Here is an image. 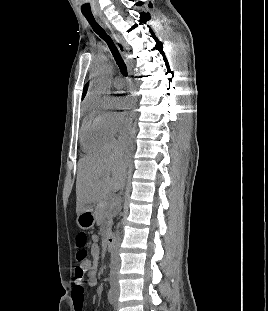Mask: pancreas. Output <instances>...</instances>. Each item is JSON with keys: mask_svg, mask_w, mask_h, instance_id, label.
Segmentation results:
<instances>
[{"mask_svg": "<svg viewBox=\"0 0 268 311\" xmlns=\"http://www.w3.org/2000/svg\"><path fill=\"white\" fill-rule=\"evenodd\" d=\"M115 202L110 199H102L98 202L96 207L95 218L97 225L103 228V234L105 235L112 225V210Z\"/></svg>", "mask_w": 268, "mask_h": 311, "instance_id": "pancreas-1", "label": "pancreas"}]
</instances>
